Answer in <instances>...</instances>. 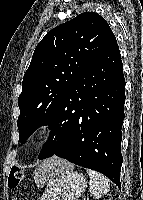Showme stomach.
I'll list each match as a JSON object with an SVG mask.
<instances>
[{"label":"stomach","mask_w":143,"mask_h":200,"mask_svg":"<svg viewBox=\"0 0 143 200\" xmlns=\"http://www.w3.org/2000/svg\"><path fill=\"white\" fill-rule=\"evenodd\" d=\"M85 176L71 167L56 172L49 178L41 200H77L85 191Z\"/></svg>","instance_id":"obj_1"}]
</instances>
